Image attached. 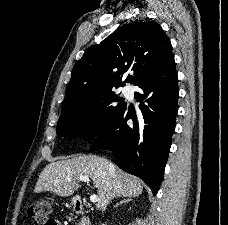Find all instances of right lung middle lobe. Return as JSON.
<instances>
[{"mask_svg": "<svg viewBox=\"0 0 228 225\" xmlns=\"http://www.w3.org/2000/svg\"><path fill=\"white\" fill-rule=\"evenodd\" d=\"M118 101L117 105L113 104ZM125 106L112 90L65 105L57 124V135L83 136L92 125L86 134V140H90L109 127Z\"/></svg>", "mask_w": 228, "mask_h": 225, "instance_id": "right-lung-middle-lobe-1", "label": "right lung middle lobe"}]
</instances>
